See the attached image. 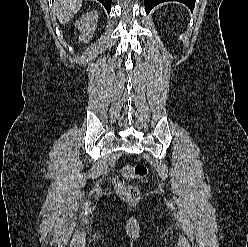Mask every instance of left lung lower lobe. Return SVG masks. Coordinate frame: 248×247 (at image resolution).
I'll return each instance as SVG.
<instances>
[{
    "label": "left lung lower lobe",
    "mask_w": 248,
    "mask_h": 247,
    "mask_svg": "<svg viewBox=\"0 0 248 247\" xmlns=\"http://www.w3.org/2000/svg\"><path fill=\"white\" fill-rule=\"evenodd\" d=\"M166 1H178L187 5L191 10H193L195 5V0H144L146 13H149L151 9L159 3Z\"/></svg>",
    "instance_id": "left-lung-lower-lobe-1"
}]
</instances>
